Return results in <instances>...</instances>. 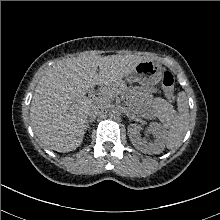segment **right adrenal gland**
<instances>
[{
  "label": "right adrenal gland",
  "mask_w": 220,
  "mask_h": 220,
  "mask_svg": "<svg viewBox=\"0 0 220 220\" xmlns=\"http://www.w3.org/2000/svg\"><path fill=\"white\" fill-rule=\"evenodd\" d=\"M95 118H90L89 120L86 121V129L89 128V124L94 122Z\"/></svg>",
  "instance_id": "2a0ac1e0"
}]
</instances>
